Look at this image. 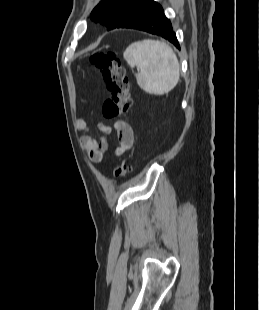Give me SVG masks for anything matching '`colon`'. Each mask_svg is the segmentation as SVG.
Returning a JSON list of instances; mask_svg holds the SVG:
<instances>
[{"mask_svg":"<svg viewBox=\"0 0 259 310\" xmlns=\"http://www.w3.org/2000/svg\"><path fill=\"white\" fill-rule=\"evenodd\" d=\"M92 64L102 75L110 97L102 106V114L108 120H113L126 114L132 104L129 81L124 67L116 52L102 50L94 53L91 57ZM132 170L129 159L124 158L115 168L113 176L116 179L126 177Z\"/></svg>","mask_w":259,"mask_h":310,"instance_id":"obj_1","label":"colon"}]
</instances>
